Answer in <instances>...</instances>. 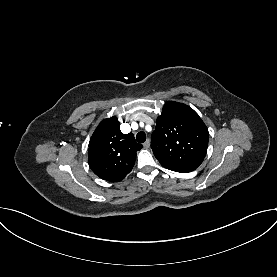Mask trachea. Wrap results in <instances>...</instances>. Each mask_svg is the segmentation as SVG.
I'll use <instances>...</instances> for the list:
<instances>
[{
  "label": "trachea",
  "mask_w": 277,
  "mask_h": 277,
  "mask_svg": "<svg viewBox=\"0 0 277 277\" xmlns=\"http://www.w3.org/2000/svg\"><path fill=\"white\" fill-rule=\"evenodd\" d=\"M136 139H137V142L143 143L146 140V134L143 131H141L136 135Z\"/></svg>",
  "instance_id": "3493384b"
}]
</instances>
